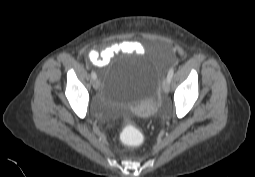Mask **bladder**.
<instances>
[{
  "instance_id": "bladder-1",
  "label": "bladder",
  "mask_w": 255,
  "mask_h": 177,
  "mask_svg": "<svg viewBox=\"0 0 255 177\" xmlns=\"http://www.w3.org/2000/svg\"><path fill=\"white\" fill-rule=\"evenodd\" d=\"M160 66L143 55L126 58L105 78L102 95L113 106L145 109L158 100Z\"/></svg>"
}]
</instances>
